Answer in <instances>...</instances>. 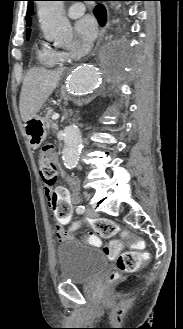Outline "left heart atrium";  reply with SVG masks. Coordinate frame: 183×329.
<instances>
[{"label": "left heart atrium", "mask_w": 183, "mask_h": 329, "mask_svg": "<svg viewBox=\"0 0 183 329\" xmlns=\"http://www.w3.org/2000/svg\"><path fill=\"white\" fill-rule=\"evenodd\" d=\"M97 29L95 19L89 15L82 17L76 24V32L85 42H90L96 37Z\"/></svg>", "instance_id": "39dd6f15"}]
</instances>
